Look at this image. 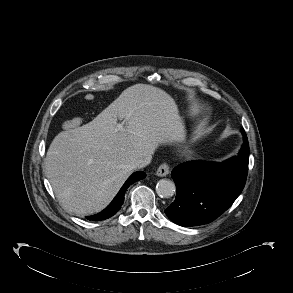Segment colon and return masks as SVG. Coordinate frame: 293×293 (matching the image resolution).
I'll return each instance as SVG.
<instances>
[{
  "mask_svg": "<svg viewBox=\"0 0 293 293\" xmlns=\"http://www.w3.org/2000/svg\"><path fill=\"white\" fill-rule=\"evenodd\" d=\"M94 95L92 93H87L85 95V99L87 101H93L94 100ZM82 123V120L80 118H73V119H70V120H67L63 123V128L64 129H67V130H70V129H74L78 126H80Z\"/></svg>",
  "mask_w": 293,
  "mask_h": 293,
  "instance_id": "5ec220e1",
  "label": "colon"
}]
</instances>
